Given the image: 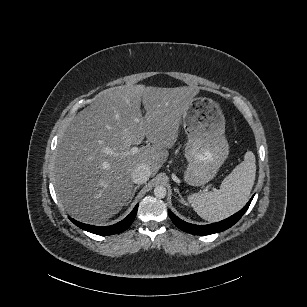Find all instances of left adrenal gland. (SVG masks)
I'll return each instance as SVG.
<instances>
[{
  "label": "left adrenal gland",
  "mask_w": 307,
  "mask_h": 307,
  "mask_svg": "<svg viewBox=\"0 0 307 307\" xmlns=\"http://www.w3.org/2000/svg\"><path fill=\"white\" fill-rule=\"evenodd\" d=\"M175 190L178 193V198H180V201H185L186 199L180 194L178 187H176Z\"/></svg>",
  "instance_id": "obj_1"
}]
</instances>
